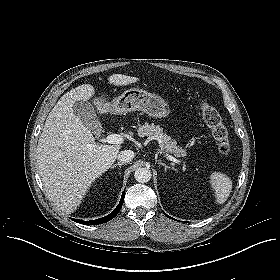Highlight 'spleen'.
I'll return each instance as SVG.
<instances>
[{"label": "spleen", "instance_id": "obj_1", "mask_svg": "<svg viewBox=\"0 0 280 280\" xmlns=\"http://www.w3.org/2000/svg\"><path fill=\"white\" fill-rule=\"evenodd\" d=\"M210 182L215 191L216 202L218 204L224 203L232 190V180L222 172H214Z\"/></svg>", "mask_w": 280, "mask_h": 280}]
</instances>
